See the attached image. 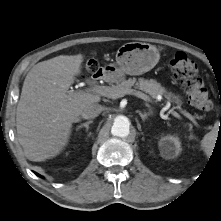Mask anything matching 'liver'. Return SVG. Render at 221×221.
<instances>
[{"instance_id":"obj_1","label":"liver","mask_w":221,"mask_h":221,"mask_svg":"<svg viewBox=\"0 0 221 221\" xmlns=\"http://www.w3.org/2000/svg\"><path fill=\"white\" fill-rule=\"evenodd\" d=\"M82 54L60 55L37 63L25 77L16 110L18 141L27 159L45 161L67 145L72 124L100 96L69 90L81 73Z\"/></svg>"}]
</instances>
